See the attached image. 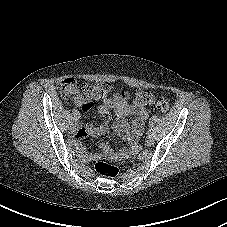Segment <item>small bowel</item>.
Masks as SVG:
<instances>
[{
	"label": "small bowel",
	"mask_w": 227,
	"mask_h": 227,
	"mask_svg": "<svg viewBox=\"0 0 227 227\" xmlns=\"http://www.w3.org/2000/svg\"><path fill=\"white\" fill-rule=\"evenodd\" d=\"M74 104L80 107L84 111H91L92 102L84 99L83 96L78 95L73 99ZM99 115H105L112 113L115 116V122L113 129L130 144L129 148H125L117 153L104 144L103 154L106 157H124L132 154L137 146L138 139L144 131L145 120L148 118L149 113L144 104H141L136 99L133 104L128 103V97L124 93H116L112 97L103 98L101 104L97 109ZM132 115L134 117L132 122V128L129 129L126 117ZM109 129L107 123L98 125H88L86 127L78 129L76 133V140L81 141L88 136H98L106 133ZM90 159L96 158L94 154H87Z\"/></svg>",
	"instance_id": "c3829d8e"
}]
</instances>
